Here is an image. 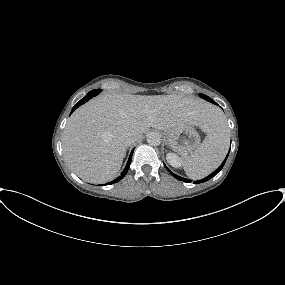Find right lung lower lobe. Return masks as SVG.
<instances>
[{
	"label": "right lung lower lobe",
	"mask_w": 285,
	"mask_h": 285,
	"mask_svg": "<svg viewBox=\"0 0 285 285\" xmlns=\"http://www.w3.org/2000/svg\"><path fill=\"white\" fill-rule=\"evenodd\" d=\"M97 94H99V92H94L93 90L90 91L84 98H82L78 103L75 104V106L73 107L71 113H73L74 110H76L80 105L84 104L89 99H91L93 96H96ZM132 155H133V150H132V152H131V154L129 156V159H128V162L126 164V167L121 172V175L117 179L107 183L106 185H110V184L116 183V182H118L119 180H121L125 176V174L127 173L128 169L130 167V164H131V161H132Z\"/></svg>",
	"instance_id": "obj_1"
}]
</instances>
